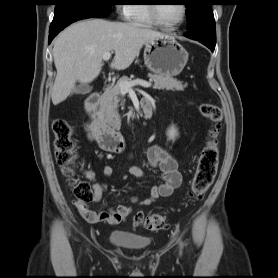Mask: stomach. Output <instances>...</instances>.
I'll list each match as a JSON object with an SVG mask.
<instances>
[{
	"instance_id": "1",
	"label": "stomach",
	"mask_w": 278,
	"mask_h": 278,
	"mask_svg": "<svg viewBox=\"0 0 278 278\" xmlns=\"http://www.w3.org/2000/svg\"><path fill=\"white\" fill-rule=\"evenodd\" d=\"M188 61V52L173 36L164 35L145 43L144 63L156 75L177 76Z\"/></svg>"
}]
</instances>
